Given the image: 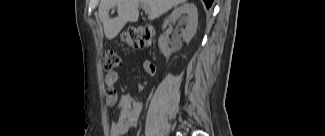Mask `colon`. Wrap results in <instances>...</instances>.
Segmentation results:
<instances>
[{
    "mask_svg": "<svg viewBox=\"0 0 325 136\" xmlns=\"http://www.w3.org/2000/svg\"><path fill=\"white\" fill-rule=\"evenodd\" d=\"M154 29L150 25L133 26L127 29L121 36L123 42L132 48H143L152 45ZM122 64L119 54L108 49L104 52L103 69L110 73L115 71Z\"/></svg>",
    "mask_w": 325,
    "mask_h": 136,
    "instance_id": "colon-1",
    "label": "colon"
}]
</instances>
